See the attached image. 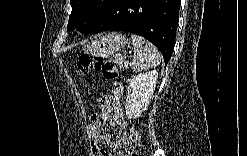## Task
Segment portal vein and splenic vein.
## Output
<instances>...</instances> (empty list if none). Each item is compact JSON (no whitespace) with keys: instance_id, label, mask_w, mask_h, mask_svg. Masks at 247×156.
<instances>
[{"instance_id":"obj_1","label":"portal vein and splenic vein","mask_w":247,"mask_h":156,"mask_svg":"<svg viewBox=\"0 0 247 156\" xmlns=\"http://www.w3.org/2000/svg\"><path fill=\"white\" fill-rule=\"evenodd\" d=\"M128 65H129V62L126 61V62L124 63V66H125V67H128Z\"/></svg>"}]
</instances>
